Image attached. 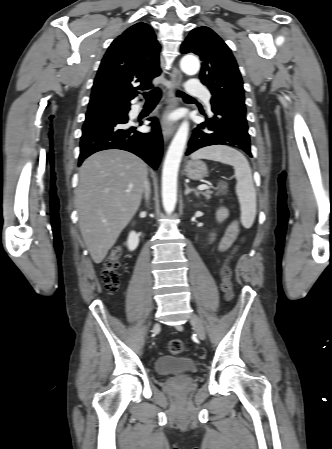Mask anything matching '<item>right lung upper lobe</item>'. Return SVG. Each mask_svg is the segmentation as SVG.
I'll list each match as a JSON object with an SVG mask.
<instances>
[{
	"mask_svg": "<svg viewBox=\"0 0 332 449\" xmlns=\"http://www.w3.org/2000/svg\"><path fill=\"white\" fill-rule=\"evenodd\" d=\"M159 52L146 23H137L117 37L101 61L87 113L129 108L137 90L152 88V79L160 75Z\"/></svg>",
	"mask_w": 332,
	"mask_h": 449,
	"instance_id": "cb5924a9",
	"label": "right lung upper lobe"
}]
</instances>
